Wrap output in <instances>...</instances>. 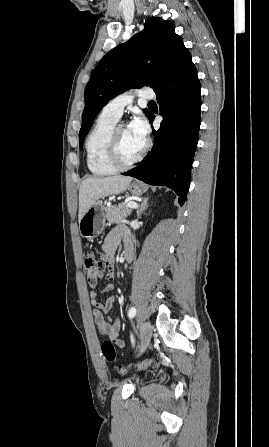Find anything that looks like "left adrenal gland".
<instances>
[{
  "instance_id": "obj_1",
  "label": "left adrenal gland",
  "mask_w": 269,
  "mask_h": 447,
  "mask_svg": "<svg viewBox=\"0 0 269 447\" xmlns=\"http://www.w3.org/2000/svg\"><path fill=\"white\" fill-rule=\"evenodd\" d=\"M148 200H149V196H148V198H144V200H143V202H142V204H141V206H140V208H139V210L137 212L138 218H140L143 210H146V208H148V204H147Z\"/></svg>"
}]
</instances>
